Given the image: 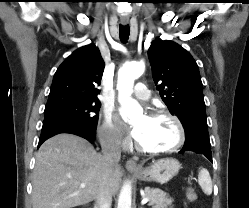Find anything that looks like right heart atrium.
Segmentation results:
<instances>
[{
  "label": "right heart atrium",
  "mask_w": 249,
  "mask_h": 208,
  "mask_svg": "<svg viewBox=\"0 0 249 208\" xmlns=\"http://www.w3.org/2000/svg\"><path fill=\"white\" fill-rule=\"evenodd\" d=\"M99 136L103 143L112 147H126L128 145V140L124 137L119 124L108 111L103 114Z\"/></svg>",
  "instance_id": "d8ad5b80"
}]
</instances>
